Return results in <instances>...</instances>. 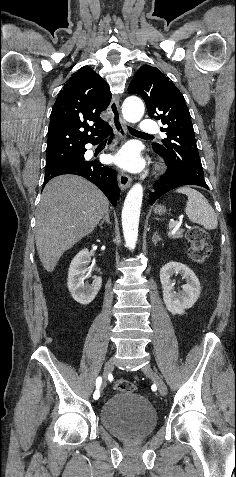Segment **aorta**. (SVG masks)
<instances>
[{
  "mask_svg": "<svg viewBox=\"0 0 236 477\" xmlns=\"http://www.w3.org/2000/svg\"><path fill=\"white\" fill-rule=\"evenodd\" d=\"M144 111L143 101L136 96H129L123 102L122 114L127 122L137 123L143 117ZM142 199L143 187L140 183H136L129 190L122 209L123 235L130 250H134L138 238Z\"/></svg>",
  "mask_w": 236,
  "mask_h": 477,
  "instance_id": "1",
  "label": "aorta"
}]
</instances>
